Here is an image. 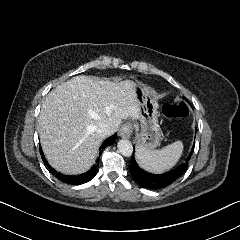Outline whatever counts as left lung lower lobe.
<instances>
[{
	"mask_svg": "<svg viewBox=\"0 0 240 240\" xmlns=\"http://www.w3.org/2000/svg\"><path fill=\"white\" fill-rule=\"evenodd\" d=\"M191 155L192 151L186 161H189ZM187 166L188 163L185 162L178 168L168 173L162 175H154L142 170L136 163L134 156H132L130 162V171L132 173L133 180L136 181L140 186L148 189H161L172 184L177 178H179Z\"/></svg>",
	"mask_w": 240,
	"mask_h": 240,
	"instance_id": "0a47b994",
	"label": "left lung lower lobe"
}]
</instances>
